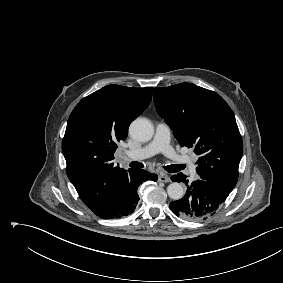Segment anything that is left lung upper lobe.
Segmentation results:
<instances>
[{"label":"left lung upper lobe","instance_id":"1","mask_svg":"<svg viewBox=\"0 0 283 283\" xmlns=\"http://www.w3.org/2000/svg\"><path fill=\"white\" fill-rule=\"evenodd\" d=\"M153 99L180 145L194 148L200 179L231 192L238 180L243 144L226 101L191 83L155 88Z\"/></svg>","mask_w":283,"mask_h":283}]
</instances>
